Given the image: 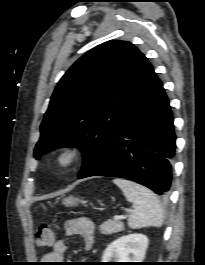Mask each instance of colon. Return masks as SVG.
I'll return each instance as SVG.
<instances>
[{"label": "colon", "mask_w": 205, "mask_h": 265, "mask_svg": "<svg viewBox=\"0 0 205 265\" xmlns=\"http://www.w3.org/2000/svg\"><path fill=\"white\" fill-rule=\"evenodd\" d=\"M34 242L39 248H48L54 245L55 234L49 224H41L34 236Z\"/></svg>", "instance_id": "1"}]
</instances>
